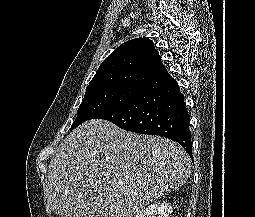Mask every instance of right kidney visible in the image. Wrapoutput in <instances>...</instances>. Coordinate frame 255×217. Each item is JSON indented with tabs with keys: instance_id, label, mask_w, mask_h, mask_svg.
<instances>
[{
	"instance_id": "right-kidney-1",
	"label": "right kidney",
	"mask_w": 255,
	"mask_h": 217,
	"mask_svg": "<svg viewBox=\"0 0 255 217\" xmlns=\"http://www.w3.org/2000/svg\"><path fill=\"white\" fill-rule=\"evenodd\" d=\"M172 206L169 203H153L146 209L137 212L134 217H170Z\"/></svg>"
}]
</instances>
